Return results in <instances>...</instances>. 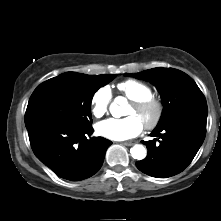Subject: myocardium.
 Here are the masks:
<instances>
[{
	"label": "myocardium",
	"mask_w": 221,
	"mask_h": 221,
	"mask_svg": "<svg viewBox=\"0 0 221 221\" xmlns=\"http://www.w3.org/2000/svg\"><path fill=\"white\" fill-rule=\"evenodd\" d=\"M131 105L138 111L151 110L153 112L152 118L143 124L146 129L152 130L161 122L164 114V106L158 98L152 96L146 99L132 101Z\"/></svg>",
	"instance_id": "myocardium-1"
}]
</instances>
